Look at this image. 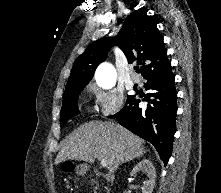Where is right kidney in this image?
<instances>
[{
	"instance_id": "right-kidney-1",
	"label": "right kidney",
	"mask_w": 221,
	"mask_h": 193,
	"mask_svg": "<svg viewBox=\"0 0 221 193\" xmlns=\"http://www.w3.org/2000/svg\"><path fill=\"white\" fill-rule=\"evenodd\" d=\"M140 171L146 173L148 177V180L142 186V193H152L156 179V172L152 162L149 159H143L135 165L130 175L135 176ZM124 193H130V191H125Z\"/></svg>"
}]
</instances>
